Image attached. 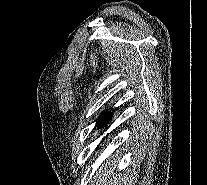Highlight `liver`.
<instances>
[{
  "label": "liver",
  "mask_w": 207,
  "mask_h": 185,
  "mask_svg": "<svg viewBox=\"0 0 207 185\" xmlns=\"http://www.w3.org/2000/svg\"><path fill=\"white\" fill-rule=\"evenodd\" d=\"M110 163H112V161L108 159L107 163H104V165L98 169L94 177V183H99V185H132V177H130L129 173L125 175V177H122L121 173L116 175L115 169Z\"/></svg>",
  "instance_id": "liver-1"
}]
</instances>
